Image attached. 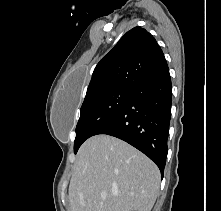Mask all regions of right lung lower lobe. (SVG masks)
Here are the masks:
<instances>
[{
	"mask_svg": "<svg viewBox=\"0 0 221 211\" xmlns=\"http://www.w3.org/2000/svg\"><path fill=\"white\" fill-rule=\"evenodd\" d=\"M171 99L169 71L147 79L132 88L123 107L95 135L107 134L131 144L147 155L163 176L168 151Z\"/></svg>",
	"mask_w": 221,
	"mask_h": 211,
	"instance_id": "98d812e1",
	"label": "right lung lower lobe"
}]
</instances>
